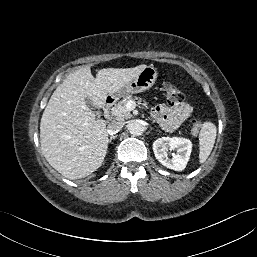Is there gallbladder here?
<instances>
[{"label":"gallbladder","instance_id":"1","mask_svg":"<svg viewBox=\"0 0 257 257\" xmlns=\"http://www.w3.org/2000/svg\"><path fill=\"white\" fill-rule=\"evenodd\" d=\"M86 102H87V103H86L87 106H88L96 115H98V114H99V111H98L95 107L92 106L91 101H90L89 99H87Z\"/></svg>","mask_w":257,"mask_h":257}]
</instances>
